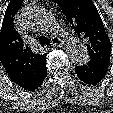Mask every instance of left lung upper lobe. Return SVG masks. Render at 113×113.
<instances>
[{
	"label": "left lung upper lobe",
	"mask_w": 113,
	"mask_h": 113,
	"mask_svg": "<svg viewBox=\"0 0 113 113\" xmlns=\"http://www.w3.org/2000/svg\"><path fill=\"white\" fill-rule=\"evenodd\" d=\"M75 32L87 41L90 61L109 65L111 42L91 0H55Z\"/></svg>",
	"instance_id": "obj_1"
}]
</instances>
